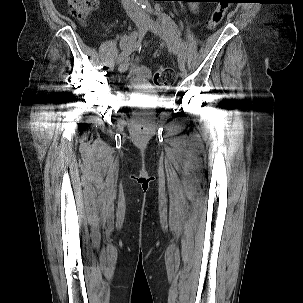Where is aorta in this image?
<instances>
[{
    "label": "aorta",
    "mask_w": 303,
    "mask_h": 303,
    "mask_svg": "<svg viewBox=\"0 0 303 303\" xmlns=\"http://www.w3.org/2000/svg\"><path fill=\"white\" fill-rule=\"evenodd\" d=\"M138 2L141 6H147L149 4L148 0H138Z\"/></svg>",
    "instance_id": "1"
}]
</instances>
